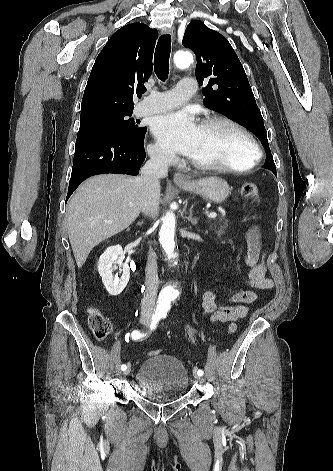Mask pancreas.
Instances as JSON below:
<instances>
[{"mask_svg":"<svg viewBox=\"0 0 333 471\" xmlns=\"http://www.w3.org/2000/svg\"><path fill=\"white\" fill-rule=\"evenodd\" d=\"M229 227V220H227L224 216L220 217L218 221H215L213 224L210 225V230L215 231L218 235H221L225 232V230Z\"/></svg>","mask_w":333,"mask_h":471,"instance_id":"pancreas-1","label":"pancreas"}]
</instances>
